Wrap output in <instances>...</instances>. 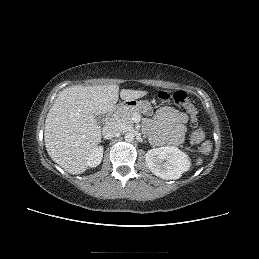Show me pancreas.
Here are the masks:
<instances>
[{
    "label": "pancreas",
    "mask_w": 259,
    "mask_h": 259,
    "mask_svg": "<svg viewBox=\"0 0 259 259\" xmlns=\"http://www.w3.org/2000/svg\"><path fill=\"white\" fill-rule=\"evenodd\" d=\"M139 111L136 109H131V108H119L117 112L115 113V120L119 124L126 126V127H132L134 122H133V116L135 114H138Z\"/></svg>",
    "instance_id": "1"
}]
</instances>
